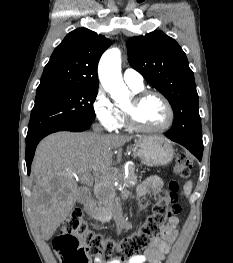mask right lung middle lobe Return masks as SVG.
<instances>
[{"instance_id":"right-lung-middle-lobe-1","label":"right lung middle lobe","mask_w":233,"mask_h":263,"mask_svg":"<svg viewBox=\"0 0 233 263\" xmlns=\"http://www.w3.org/2000/svg\"><path fill=\"white\" fill-rule=\"evenodd\" d=\"M97 92L98 87H76L36 95L26 138L57 125L94 120Z\"/></svg>"}]
</instances>
